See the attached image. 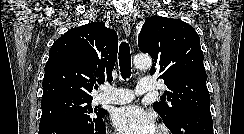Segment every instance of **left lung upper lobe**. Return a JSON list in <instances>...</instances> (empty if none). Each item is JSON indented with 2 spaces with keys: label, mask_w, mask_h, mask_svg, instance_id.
<instances>
[{
  "label": "left lung upper lobe",
  "mask_w": 244,
  "mask_h": 134,
  "mask_svg": "<svg viewBox=\"0 0 244 134\" xmlns=\"http://www.w3.org/2000/svg\"><path fill=\"white\" fill-rule=\"evenodd\" d=\"M138 46L153 64L150 74L160 73L168 90L165 99L153 104L166 125L187 111L210 115V95L200 38L189 24L173 18L152 16L142 26Z\"/></svg>",
  "instance_id": "1"
}]
</instances>
